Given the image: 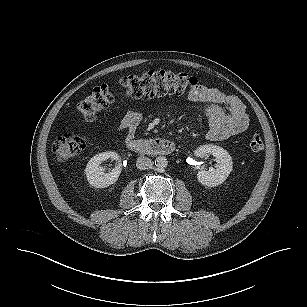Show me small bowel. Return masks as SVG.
I'll use <instances>...</instances> for the list:
<instances>
[{
    "label": "small bowel",
    "instance_id": "1",
    "mask_svg": "<svg viewBox=\"0 0 307 307\" xmlns=\"http://www.w3.org/2000/svg\"><path fill=\"white\" fill-rule=\"evenodd\" d=\"M197 102L209 121L206 138L209 141H223L245 131L249 125V116L244 104L236 96L225 94L217 88L197 85L187 95ZM142 115L138 111H129L119 121L117 128L126 133L127 139L135 137Z\"/></svg>",
    "mask_w": 307,
    "mask_h": 307
}]
</instances>
